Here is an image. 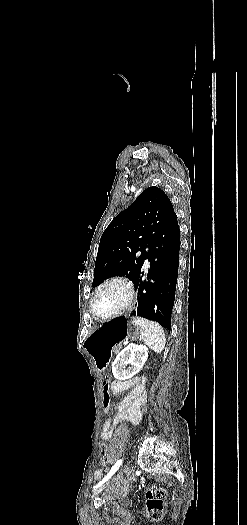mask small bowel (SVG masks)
I'll list each match as a JSON object with an SVG mask.
<instances>
[{"mask_svg":"<svg viewBox=\"0 0 247 525\" xmlns=\"http://www.w3.org/2000/svg\"><path fill=\"white\" fill-rule=\"evenodd\" d=\"M145 383V377L142 379L136 378L129 393H127V395L119 402L115 418L113 420L107 418V420L104 421L101 432V440L103 442H108L112 439L114 430L118 425L134 419L140 405L145 400ZM123 389L124 387L116 382L115 387H111L110 397L112 398L119 395ZM119 455V451L116 448H113L109 452L108 458L111 461H116L119 458ZM94 477L96 480H101L103 477L102 470L97 469L94 472Z\"/></svg>","mask_w":247,"mask_h":525,"instance_id":"1","label":"small bowel"}]
</instances>
